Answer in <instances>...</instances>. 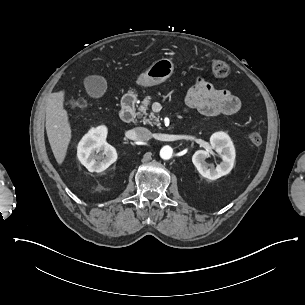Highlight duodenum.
Instances as JSON below:
<instances>
[{"instance_id": "obj_1", "label": "duodenum", "mask_w": 305, "mask_h": 305, "mask_svg": "<svg viewBox=\"0 0 305 305\" xmlns=\"http://www.w3.org/2000/svg\"><path fill=\"white\" fill-rule=\"evenodd\" d=\"M136 97L126 94L121 100L120 117L125 122H130L135 117Z\"/></svg>"}]
</instances>
